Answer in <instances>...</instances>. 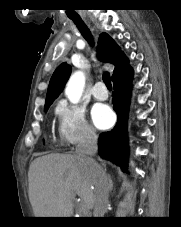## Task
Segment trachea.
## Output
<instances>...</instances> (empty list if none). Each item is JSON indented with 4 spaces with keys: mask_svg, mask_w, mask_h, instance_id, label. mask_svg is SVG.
Returning a JSON list of instances; mask_svg holds the SVG:
<instances>
[{
    "mask_svg": "<svg viewBox=\"0 0 181 227\" xmlns=\"http://www.w3.org/2000/svg\"><path fill=\"white\" fill-rule=\"evenodd\" d=\"M73 22L76 24V26L79 29V31L81 32L82 36L88 41V43L90 45H93V37H92L88 27L86 26V24L81 19H78V20L73 19ZM102 79H103L105 85L107 86V88L112 89L110 73L105 72L102 76Z\"/></svg>",
    "mask_w": 181,
    "mask_h": 227,
    "instance_id": "1",
    "label": "trachea"
}]
</instances>
